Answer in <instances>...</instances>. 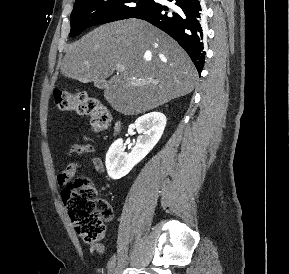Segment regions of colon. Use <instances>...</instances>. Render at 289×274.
I'll return each mask as SVG.
<instances>
[{
	"label": "colon",
	"instance_id": "obj_1",
	"mask_svg": "<svg viewBox=\"0 0 289 274\" xmlns=\"http://www.w3.org/2000/svg\"><path fill=\"white\" fill-rule=\"evenodd\" d=\"M53 96L59 110L89 116L95 131L110 126L111 113L98 98L86 92L71 93L63 90H55ZM62 197L78 235L88 242L100 240L113 212L105 199L98 198L94 184L88 179H76L66 184Z\"/></svg>",
	"mask_w": 289,
	"mask_h": 274
}]
</instances>
